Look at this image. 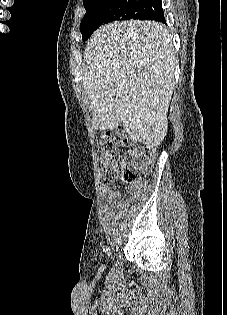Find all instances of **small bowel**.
I'll list each match as a JSON object with an SVG mask.
<instances>
[{"mask_svg": "<svg viewBox=\"0 0 227 315\" xmlns=\"http://www.w3.org/2000/svg\"><path fill=\"white\" fill-rule=\"evenodd\" d=\"M138 191L139 189L131 187L130 196L126 199H120L119 193L112 186L102 189L105 195L104 222L106 226L111 228L116 224L128 204L136 198Z\"/></svg>", "mask_w": 227, "mask_h": 315, "instance_id": "c3829d8e", "label": "small bowel"}]
</instances>
